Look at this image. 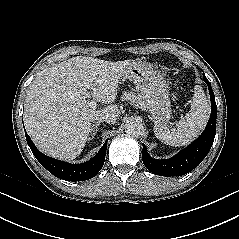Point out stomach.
<instances>
[{"label":"stomach","instance_id":"stomach-1","mask_svg":"<svg viewBox=\"0 0 239 239\" xmlns=\"http://www.w3.org/2000/svg\"><path fill=\"white\" fill-rule=\"evenodd\" d=\"M121 79L130 80L136 85L141 96L140 105L150 113L155 126L166 127L172 112L163 75L150 64L136 60L130 61Z\"/></svg>","mask_w":239,"mask_h":239}]
</instances>
